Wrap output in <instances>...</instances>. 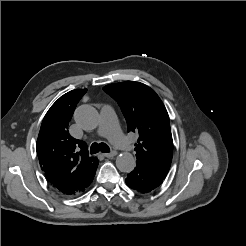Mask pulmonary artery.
I'll use <instances>...</instances> for the list:
<instances>
[{"label":"pulmonary artery","instance_id":"e3ab8cb5","mask_svg":"<svg viewBox=\"0 0 246 246\" xmlns=\"http://www.w3.org/2000/svg\"><path fill=\"white\" fill-rule=\"evenodd\" d=\"M98 134L107 137L116 147L122 150L133 151V146L120 130L115 112L109 105H105L101 109Z\"/></svg>","mask_w":246,"mask_h":246}]
</instances>
